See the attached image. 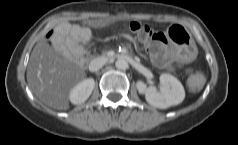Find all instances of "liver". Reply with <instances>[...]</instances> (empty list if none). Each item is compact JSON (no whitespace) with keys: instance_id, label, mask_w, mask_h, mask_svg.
<instances>
[{"instance_id":"1","label":"liver","mask_w":238,"mask_h":145,"mask_svg":"<svg viewBox=\"0 0 238 145\" xmlns=\"http://www.w3.org/2000/svg\"><path fill=\"white\" fill-rule=\"evenodd\" d=\"M127 19V14H106L84 24L98 29ZM89 27L63 22L55 27L49 39H41L34 47L27 66V82L34 95L47 106L57 110L69 108V91L84 79L86 59L68 44V38L83 32L90 33Z\"/></svg>"}]
</instances>
